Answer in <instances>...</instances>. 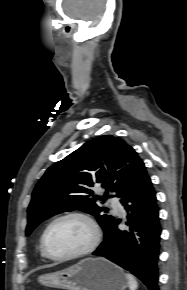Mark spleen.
<instances>
[{
    "label": "spleen",
    "instance_id": "3e777b00",
    "mask_svg": "<svg viewBox=\"0 0 187 290\" xmlns=\"http://www.w3.org/2000/svg\"><path fill=\"white\" fill-rule=\"evenodd\" d=\"M126 276H127V279H128L129 289L130 290H136L138 288V282L136 281L134 276L129 274V273H127Z\"/></svg>",
    "mask_w": 187,
    "mask_h": 290
}]
</instances>
